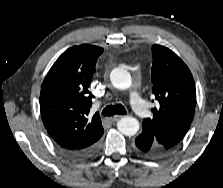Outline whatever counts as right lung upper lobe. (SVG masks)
I'll use <instances>...</instances> for the list:
<instances>
[{"mask_svg": "<svg viewBox=\"0 0 223 188\" xmlns=\"http://www.w3.org/2000/svg\"><path fill=\"white\" fill-rule=\"evenodd\" d=\"M103 49L92 45L69 48L53 64L40 92L44 126L60 147L82 149L96 143L104 130L98 113L89 117L93 95L88 90Z\"/></svg>", "mask_w": 223, "mask_h": 188, "instance_id": "cb5924a9", "label": "right lung upper lobe"}]
</instances>
